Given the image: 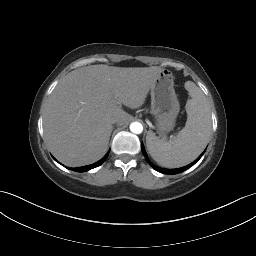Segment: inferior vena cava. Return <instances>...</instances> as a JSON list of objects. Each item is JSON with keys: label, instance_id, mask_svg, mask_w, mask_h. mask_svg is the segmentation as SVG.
Instances as JSON below:
<instances>
[{"label": "inferior vena cava", "instance_id": "obj_1", "mask_svg": "<svg viewBox=\"0 0 256 256\" xmlns=\"http://www.w3.org/2000/svg\"><path fill=\"white\" fill-rule=\"evenodd\" d=\"M111 124L113 126H119L121 124V119L119 117H113L111 119Z\"/></svg>", "mask_w": 256, "mask_h": 256}]
</instances>
